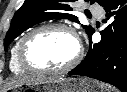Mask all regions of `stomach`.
<instances>
[{"instance_id": "1", "label": "stomach", "mask_w": 127, "mask_h": 92, "mask_svg": "<svg viewBox=\"0 0 127 92\" xmlns=\"http://www.w3.org/2000/svg\"><path fill=\"white\" fill-rule=\"evenodd\" d=\"M27 90L38 92H98L95 83L87 78H64L40 84L27 85ZM22 86L12 88V92H18Z\"/></svg>"}]
</instances>
